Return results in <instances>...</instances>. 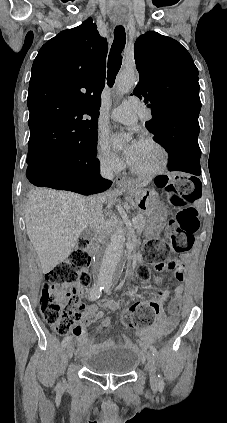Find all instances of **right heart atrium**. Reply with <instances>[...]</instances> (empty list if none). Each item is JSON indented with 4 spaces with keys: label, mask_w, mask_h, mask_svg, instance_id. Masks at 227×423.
<instances>
[{
    "label": "right heart atrium",
    "mask_w": 227,
    "mask_h": 423,
    "mask_svg": "<svg viewBox=\"0 0 227 423\" xmlns=\"http://www.w3.org/2000/svg\"><path fill=\"white\" fill-rule=\"evenodd\" d=\"M96 158L100 167L108 173L119 174L125 168L123 160L112 150L108 139L102 135L97 138Z\"/></svg>",
    "instance_id": "1"
}]
</instances>
